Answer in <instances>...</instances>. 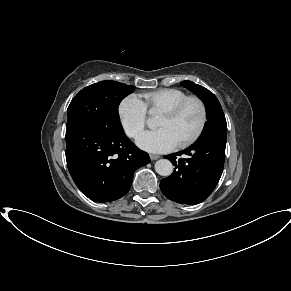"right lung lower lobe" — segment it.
Here are the masks:
<instances>
[{
    "mask_svg": "<svg viewBox=\"0 0 291 291\" xmlns=\"http://www.w3.org/2000/svg\"><path fill=\"white\" fill-rule=\"evenodd\" d=\"M66 161L79 188L95 202L123 197L131 187L136 169L150 162L122 128L100 131L80 124L66 125Z\"/></svg>",
    "mask_w": 291,
    "mask_h": 291,
    "instance_id": "98d812e1",
    "label": "right lung lower lobe"
}]
</instances>
